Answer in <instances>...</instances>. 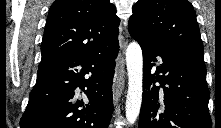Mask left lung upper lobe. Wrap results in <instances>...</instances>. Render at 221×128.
Instances as JSON below:
<instances>
[{
	"mask_svg": "<svg viewBox=\"0 0 221 128\" xmlns=\"http://www.w3.org/2000/svg\"><path fill=\"white\" fill-rule=\"evenodd\" d=\"M128 28L139 42L169 44L204 61L199 26L188 0H138Z\"/></svg>",
	"mask_w": 221,
	"mask_h": 128,
	"instance_id": "5c2ea615",
	"label": "left lung upper lobe"
}]
</instances>
